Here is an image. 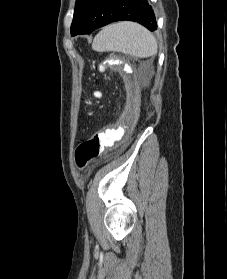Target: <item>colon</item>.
Returning a JSON list of instances; mask_svg holds the SVG:
<instances>
[{
  "instance_id": "1",
  "label": "colon",
  "mask_w": 227,
  "mask_h": 279,
  "mask_svg": "<svg viewBox=\"0 0 227 279\" xmlns=\"http://www.w3.org/2000/svg\"><path fill=\"white\" fill-rule=\"evenodd\" d=\"M104 61L99 68L102 69ZM98 97L100 93L96 94ZM116 134L112 133L109 128L95 132L93 135L82 141L75 151V163L79 168H83L89 162L96 159L104 153L106 148L113 144Z\"/></svg>"
}]
</instances>
